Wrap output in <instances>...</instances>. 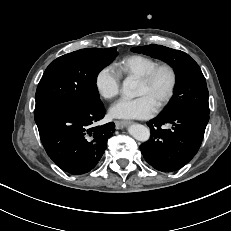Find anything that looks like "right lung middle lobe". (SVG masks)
<instances>
[{"instance_id": "1", "label": "right lung middle lobe", "mask_w": 231, "mask_h": 231, "mask_svg": "<svg viewBox=\"0 0 231 231\" xmlns=\"http://www.w3.org/2000/svg\"><path fill=\"white\" fill-rule=\"evenodd\" d=\"M117 55L114 48H86L55 59L45 70L36 90L35 115L56 107L102 105L96 79Z\"/></svg>"}]
</instances>
